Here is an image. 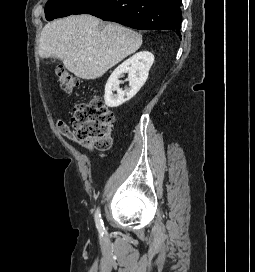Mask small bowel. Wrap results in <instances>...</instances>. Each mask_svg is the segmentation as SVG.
<instances>
[{"instance_id":"small-bowel-1","label":"small bowel","mask_w":255,"mask_h":272,"mask_svg":"<svg viewBox=\"0 0 255 272\" xmlns=\"http://www.w3.org/2000/svg\"><path fill=\"white\" fill-rule=\"evenodd\" d=\"M56 125H57L58 132L62 136L66 137L67 139H69L73 142L79 143V144L87 147L90 150H93L92 147L90 145H88L87 143L81 142L76 139L74 133L72 132V130L70 129V127L68 126V124L64 120L58 119Z\"/></svg>"}]
</instances>
